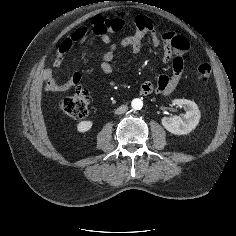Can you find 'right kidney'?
<instances>
[{"instance_id":"right-kidney-1","label":"right kidney","mask_w":236,"mask_h":236,"mask_svg":"<svg viewBox=\"0 0 236 236\" xmlns=\"http://www.w3.org/2000/svg\"><path fill=\"white\" fill-rule=\"evenodd\" d=\"M93 122L92 121H81L77 124V131L84 133L89 131L92 128Z\"/></svg>"}]
</instances>
